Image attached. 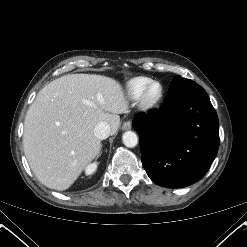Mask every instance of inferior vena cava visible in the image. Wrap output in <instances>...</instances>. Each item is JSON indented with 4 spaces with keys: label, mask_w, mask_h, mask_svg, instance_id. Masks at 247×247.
Returning a JSON list of instances; mask_svg holds the SVG:
<instances>
[{
    "label": "inferior vena cava",
    "mask_w": 247,
    "mask_h": 247,
    "mask_svg": "<svg viewBox=\"0 0 247 247\" xmlns=\"http://www.w3.org/2000/svg\"><path fill=\"white\" fill-rule=\"evenodd\" d=\"M94 135L96 138L103 140L110 135V126L107 122L101 121L94 128Z\"/></svg>",
    "instance_id": "obj_1"
}]
</instances>
